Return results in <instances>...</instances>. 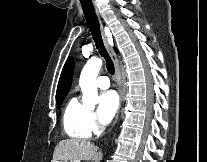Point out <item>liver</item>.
Listing matches in <instances>:
<instances>
[{
    "label": "liver",
    "mask_w": 207,
    "mask_h": 162,
    "mask_svg": "<svg viewBox=\"0 0 207 162\" xmlns=\"http://www.w3.org/2000/svg\"><path fill=\"white\" fill-rule=\"evenodd\" d=\"M99 157L100 153L97 152V146L90 141L65 139L56 145L51 162H80L81 160H99Z\"/></svg>",
    "instance_id": "liver-1"
}]
</instances>
